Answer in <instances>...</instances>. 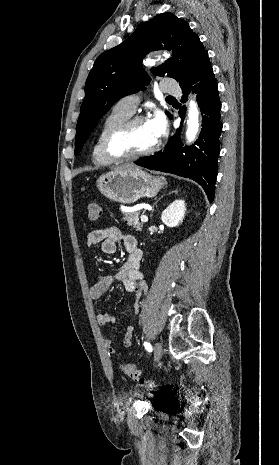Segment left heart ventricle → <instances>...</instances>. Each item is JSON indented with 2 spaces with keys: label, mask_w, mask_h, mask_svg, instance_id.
Wrapping results in <instances>:
<instances>
[{
  "label": "left heart ventricle",
  "mask_w": 279,
  "mask_h": 465,
  "mask_svg": "<svg viewBox=\"0 0 279 465\" xmlns=\"http://www.w3.org/2000/svg\"><path fill=\"white\" fill-rule=\"evenodd\" d=\"M156 141L149 123H138L113 142V150L117 153H136L151 147Z\"/></svg>",
  "instance_id": "1"
}]
</instances>
